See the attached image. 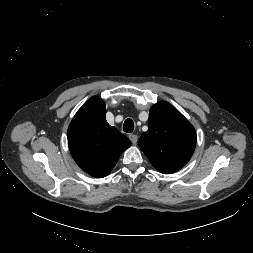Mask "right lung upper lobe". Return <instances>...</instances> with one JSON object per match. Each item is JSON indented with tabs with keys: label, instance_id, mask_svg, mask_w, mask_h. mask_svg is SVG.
<instances>
[{
	"label": "right lung upper lobe",
	"instance_id": "obj_1",
	"mask_svg": "<svg viewBox=\"0 0 253 253\" xmlns=\"http://www.w3.org/2000/svg\"><path fill=\"white\" fill-rule=\"evenodd\" d=\"M105 115L104 102L93 96L75 114L67 132L75 162L97 178L108 175L131 145L124 134L107 123Z\"/></svg>",
	"mask_w": 253,
	"mask_h": 253
}]
</instances>
